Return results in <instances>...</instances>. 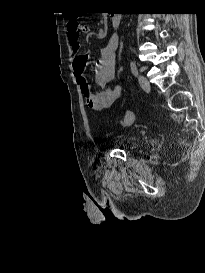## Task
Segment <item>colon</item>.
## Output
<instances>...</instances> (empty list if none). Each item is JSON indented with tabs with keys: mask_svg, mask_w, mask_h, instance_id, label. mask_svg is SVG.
<instances>
[{
	"mask_svg": "<svg viewBox=\"0 0 205 273\" xmlns=\"http://www.w3.org/2000/svg\"><path fill=\"white\" fill-rule=\"evenodd\" d=\"M81 27V24H76L75 25V28H76V31L77 29H79ZM133 119H134V115H133V112L130 111V110H126L123 115H122V118L120 120V123L122 125H130L132 124L133 122Z\"/></svg>",
	"mask_w": 205,
	"mask_h": 273,
	"instance_id": "1",
	"label": "colon"
}]
</instances>
